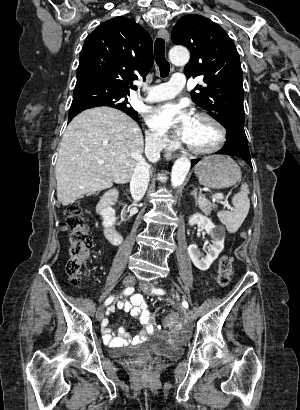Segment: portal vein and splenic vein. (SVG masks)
I'll list each match as a JSON object with an SVG mask.
<instances>
[{
    "instance_id": "portal-vein-and-splenic-vein-1",
    "label": "portal vein and splenic vein",
    "mask_w": 300,
    "mask_h": 410,
    "mask_svg": "<svg viewBox=\"0 0 300 410\" xmlns=\"http://www.w3.org/2000/svg\"><path fill=\"white\" fill-rule=\"evenodd\" d=\"M97 163H98V164H103L104 161L99 159V160L97 161ZM200 198H203V197L201 196ZM223 198H224V197H223V194H221V193H216V194L213 196V200H221V199H223ZM227 208L230 209L229 206H227Z\"/></svg>"
}]
</instances>
